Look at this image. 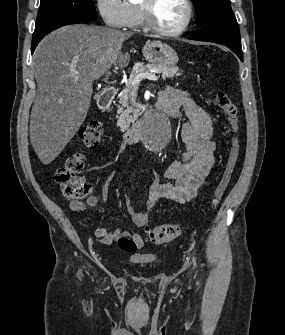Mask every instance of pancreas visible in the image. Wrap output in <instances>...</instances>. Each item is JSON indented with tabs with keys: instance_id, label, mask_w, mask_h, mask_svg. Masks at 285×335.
I'll return each mask as SVG.
<instances>
[{
	"instance_id": "obj_1",
	"label": "pancreas",
	"mask_w": 285,
	"mask_h": 335,
	"mask_svg": "<svg viewBox=\"0 0 285 335\" xmlns=\"http://www.w3.org/2000/svg\"><path fill=\"white\" fill-rule=\"evenodd\" d=\"M150 70H161L164 72V76H168V78H174V76H181V74H177L178 68L177 66H173V68H168V66H158V64H135L133 68L132 74L128 75L129 81L135 80L136 72L139 74H143V72H150ZM160 79H163V76H160ZM127 90L122 92V96L120 98V104H122V108H119L118 112L116 113V125H133L134 122H137L139 114H138V106L132 105L130 106L128 102L129 90L133 88L131 83L126 85ZM126 108V110H123Z\"/></svg>"
}]
</instances>
